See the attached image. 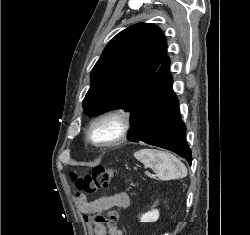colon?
I'll list each match as a JSON object with an SVG mask.
<instances>
[{"mask_svg": "<svg viewBox=\"0 0 250 235\" xmlns=\"http://www.w3.org/2000/svg\"><path fill=\"white\" fill-rule=\"evenodd\" d=\"M114 173V170L110 167L98 166L82 176L77 175L76 173H71V179L79 191L95 193L104 190L109 186ZM116 216L117 214L111 211L108 212L106 216L103 214H97L94 219L97 222H109L114 220Z\"/></svg>", "mask_w": 250, "mask_h": 235, "instance_id": "1", "label": "colon"}]
</instances>
